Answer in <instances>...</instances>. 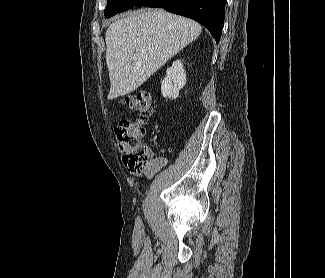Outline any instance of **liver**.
<instances>
[{"label": "liver", "mask_w": 325, "mask_h": 278, "mask_svg": "<svg viewBox=\"0 0 325 278\" xmlns=\"http://www.w3.org/2000/svg\"><path fill=\"white\" fill-rule=\"evenodd\" d=\"M201 31L199 23L163 9L130 12L111 23L105 36L108 99L135 91Z\"/></svg>", "instance_id": "6515ba94"}]
</instances>
